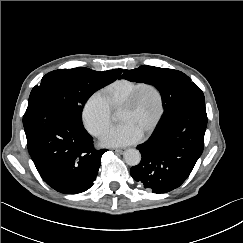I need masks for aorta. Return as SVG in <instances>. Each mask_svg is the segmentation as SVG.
Returning <instances> with one entry per match:
<instances>
[{"label": "aorta", "mask_w": 243, "mask_h": 243, "mask_svg": "<svg viewBox=\"0 0 243 243\" xmlns=\"http://www.w3.org/2000/svg\"><path fill=\"white\" fill-rule=\"evenodd\" d=\"M124 160L128 165L136 166L141 161V154L137 149H128L124 153Z\"/></svg>", "instance_id": "1"}]
</instances>
